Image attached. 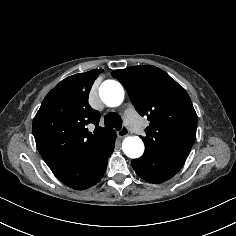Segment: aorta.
Returning <instances> with one entry per match:
<instances>
[{
  "label": "aorta",
  "mask_w": 236,
  "mask_h": 236,
  "mask_svg": "<svg viewBox=\"0 0 236 236\" xmlns=\"http://www.w3.org/2000/svg\"><path fill=\"white\" fill-rule=\"evenodd\" d=\"M99 95L104 104L109 107L119 106L124 100L122 85L114 80L104 81L99 88ZM123 152L126 156L135 159L144 153V143L138 136H128L122 143Z\"/></svg>",
  "instance_id": "obj_1"
}]
</instances>
